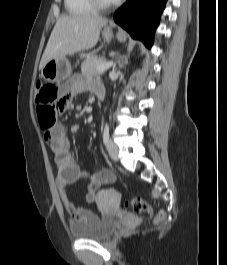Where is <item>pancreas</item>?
<instances>
[{
	"mask_svg": "<svg viewBox=\"0 0 227 265\" xmlns=\"http://www.w3.org/2000/svg\"><path fill=\"white\" fill-rule=\"evenodd\" d=\"M106 63V60L103 58H98L97 56L93 55L87 59H85L81 64V72L84 76L93 77L103 72L97 71L96 68L99 65Z\"/></svg>",
	"mask_w": 227,
	"mask_h": 265,
	"instance_id": "pancreas-1",
	"label": "pancreas"
}]
</instances>
